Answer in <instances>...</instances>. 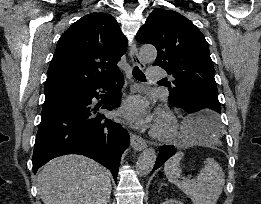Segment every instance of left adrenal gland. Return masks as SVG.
Masks as SVG:
<instances>
[{
  "label": "left adrenal gland",
  "mask_w": 261,
  "mask_h": 204,
  "mask_svg": "<svg viewBox=\"0 0 261 204\" xmlns=\"http://www.w3.org/2000/svg\"><path fill=\"white\" fill-rule=\"evenodd\" d=\"M164 184L163 183H161V186L160 187H162Z\"/></svg>",
  "instance_id": "1"
}]
</instances>
